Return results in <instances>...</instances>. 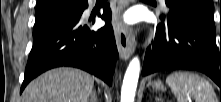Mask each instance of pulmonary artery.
Wrapping results in <instances>:
<instances>
[{
	"label": "pulmonary artery",
	"mask_w": 221,
	"mask_h": 102,
	"mask_svg": "<svg viewBox=\"0 0 221 102\" xmlns=\"http://www.w3.org/2000/svg\"><path fill=\"white\" fill-rule=\"evenodd\" d=\"M160 3H161L162 5H165V0H160Z\"/></svg>",
	"instance_id": "obj_1"
}]
</instances>
